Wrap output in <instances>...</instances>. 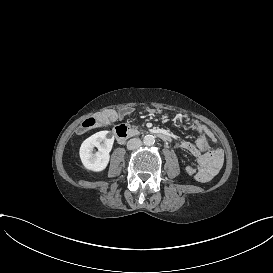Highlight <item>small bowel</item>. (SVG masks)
<instances>
[{
    "mask_svg": "<svg viewBox=\"0 0 273 273\" xmlns=\"http://www.w3.org/2000/svg\"><path fill=\"white\" fill-rule=\"evenodd\" d=\"M118 119V115L113 111L101 114L97 120H88L83 124L84 131L93 126L108 127ZM193 128L198 132L195 144L184 141L181 148L197 158L199 169L196 178L201 182L208 181L220 169L223 163V151L219 148H212L210 141H214L211 130L199 122H195ZM186 172L193 175L195 170L192 166L186 167Z\"/></svg>",
    "mask_w": 273,
    "mask_h": 273,
    "instance_id": "c3829d8e",
    "label": "small bowel"
}]
</instances>
